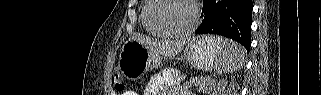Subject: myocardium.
Segmentation results:
<instances>
[{
  "label": "myocardium",
  "mask_w": 321,
  "mask_h": 95,
  "mask_svg": "<svg viewBox=\"0 0 321 95\" xmlns=\"http://www.w3.org/2000/svg\"><path fill=\"white\" fill-rule=\"evenodd\" d=\"M158 1H162V0H149V4H148L147 9L145 11V20H146L148 26L154 32H156L162 36L182 37V36H187V35L191 34L197 28V26L199 24V9H198V5H197L196 1L182 0V1H185L186 3H188V5L191 7L193 19H192L190 26L187 29L181 30V31L170 30V29L158 27L151 20L150 12Z\"/></svg>",
  "instance_id": "f54148a6"
}]
</instances>
